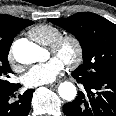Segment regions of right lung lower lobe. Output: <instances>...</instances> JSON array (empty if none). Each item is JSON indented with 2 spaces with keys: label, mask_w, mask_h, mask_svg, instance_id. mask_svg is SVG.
Masks as SVG:
<instances>
[{
  "label": "right lung lower lobe",
  "mask_w": 116,
  "mask_h": 116,
  "mask_svg": "<svg viewBox=\"0 0 116 116\" xmlns=\"http://www.w3.org/2000/svg\"><path fill=\"white\" fill-rule=\"evenodd\" d=\"M20 87V84H14L8 91L0 93V116H27L29 114L33 89L26 90L19 95L17 101L11 102V98L15 97L14 94Z\"/></svg>",
  "instance_id": "98d812e1"
}]
</instances>
